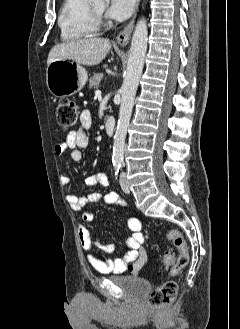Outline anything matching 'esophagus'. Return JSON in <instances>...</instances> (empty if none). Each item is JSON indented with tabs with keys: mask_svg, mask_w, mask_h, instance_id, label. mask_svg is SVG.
<instances>
[{
	"mask_svg": "<svg viewBox=\"0 0 240 329\" xmlns=\"http://www.w3.org/2000/svg\"><path fill=\"white\" fill-rule=\"evenodd\" d=\"M139 3H140V0H137L136 5H135L134 15H133V18L131 19V21L129 22V24L122 31H120V33L117 35L116 40L120 46H124V45L128 44V42L130 40L132 31L134 28L135 19H136L137 12H138Z\"/></svg>",
	"mask_w": 240,
	"mask_h": 329,
	"instance_id": "34e87169",
	"label": "esophagus"
}]
</instances>
